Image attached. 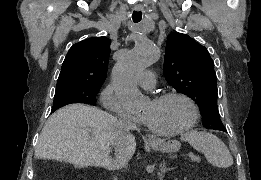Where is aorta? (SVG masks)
<instances>
[{"instance_id":"aorta-1","label":"aorta","mask_w":261,"mask_h":180,"mask_svg":"<svg viewBox=\"0 0 261 180\" xmlns=\"http://www.w3.org/2000/svg\"><path fill=\"white\" fill-rule=\"evenodd\" d=\"M160 58V51L150 41L137 43L120 57L112 70V81L119 102L128 111L140 110L145 102L137 86L138 75Z\"/></svg>"}]
</instances>
